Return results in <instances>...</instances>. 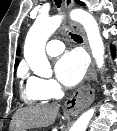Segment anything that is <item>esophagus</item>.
Listing matches in <instances>:
<instances>
[{
  "label": "esophagus",
  "mask_w": 117,
  "mask_h": 131,
  "mask_svg": "<svg viewBox=\"0 0 117 131\" xmlns=\"http://www.w3.org/2000/svg\"><path fill=\"white\" fill-rule=\"evenodd\" d=\"M65 8L70 11L74 6L73 0H64ZM70 25L74 31H78L84 41V46L88 53H90L88 41L83 28L76 22L70 21ZM96 79V71L94 66V61L92 59L90 68L88 70L86 81L87 84L77 89L72 96L65 102V110L71 114H78L84 108L89 106L95 97L94 90L91 87V82Z\"/></svg>",
  "instance_id": "34e87169"
}]
</instances>
